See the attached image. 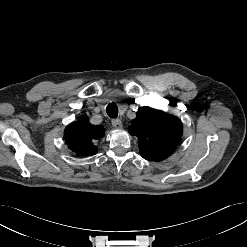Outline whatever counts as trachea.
Here are the masks:
<instances>
[{"instance_id":"obj_1","label":"trachea","mask_w":247,"mask_h":247,"mask_svg":"<svg viewBox=\"0 0 247 247\" xmlns=\"http://www.w3.org/2000/svg\"><path fill=\"white\" fill-rule=\"evenodd\" d=\"M106 112L110 118H117L118 116V107L115 103H110L107 108Z\"/></svg>"}]
</instances>
